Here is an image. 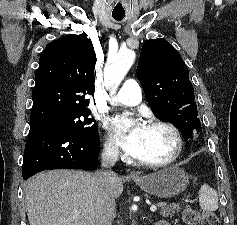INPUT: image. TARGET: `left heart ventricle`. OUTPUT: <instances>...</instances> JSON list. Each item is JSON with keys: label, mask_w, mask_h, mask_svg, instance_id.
Wrapping results in <instances>:
<instances>
[{"label": "left heart ventricle", "mask_w": 237, "mask_h": 225, "mask_svg": "<svg viewBox=\"0 0 237 225\" xmlns=\"http://www.w3.org/2000/svg\"><path fill=\"white\" fill-rule=\"evenodd\" d=\"M174 149V138L166 129L160 127H145L142 147L138 159L159 161L171 155Z\"/></svg>", "instance_id": "left-heart-ventricle-1"}]
</instances>
